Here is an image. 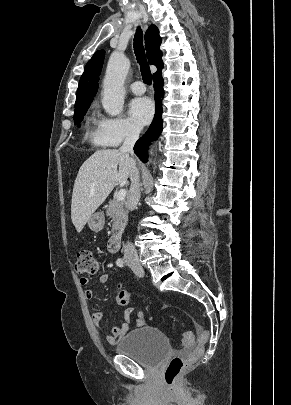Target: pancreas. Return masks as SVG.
I'll use <instances>...</instances> for the list:
<instances>
[{"label":"pancreas","mask_w":291,"mask_h":405,"mask_svg":"<svg viewBox=\"0 0 291 405\" xmlns=\"http://www.w3.org/2000/svg\"><path fill=\"white\" fill-rule=\"evenodd\" d=\"M106 214L111 218L113 222L112 224L113 235L121 234L128 220L125 202L118 200H110L109 204L107 205Z\"/></svg>","instance_id":"obj_1"}]
</instances>
